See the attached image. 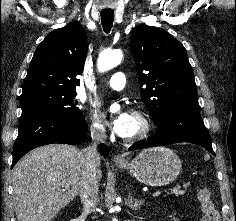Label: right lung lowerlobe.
I'll use <instances>...</instances> for the list:
<instances>
[{"mask_svg": "<svg viewBox=\"0 0 236 221\" xmlns=\"http://www.w3.org/2000/svg\"><path fill=\"white\" fill-rule=\"evenodd\" d=\"M87 134L83 114L74 115L58 111L40 110L21 116L18 137L13 150L12 167L30 150L53 143L77 144ZM106 157L107 147L99 146Z\"/></svg>", "mask_w": 236, "mask_h": 221, "instance_id": "obj_1", "label": "right lung lower lobe"}]
</instances>
